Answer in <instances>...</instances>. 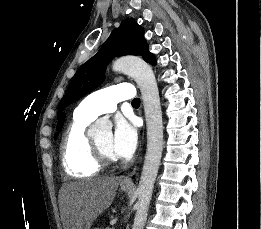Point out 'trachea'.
I'll return each mask as SVG.
<instances>
[{
  "label": "trachea",
  "mask_w": 261,
  "mask_h": 229,
  "mask_svg": "<svg viewBox=\"0 0 261 229\" xmlns=\"http://www.w3.org/2000/svg\"><path fill=\"white\" fill-rule=\"evenodd\" d=\"M140 104V99L136 98L132 100V105Z\"/></svg>",
  "instance_id": "1"
}]
</instances>
